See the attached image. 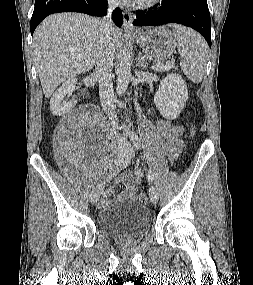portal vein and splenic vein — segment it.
Instances as JSON below:
<instances>
[{
    "label": "portal vein and splenic vein",
    "mask_w": 253,
    "mask_h": 285,
    "mask_svg": "<svg viewBox=\"0 0 253 285\" xmlns=\"http://www.w3.org/2000/svg\"><path fill=\"white\" fill-rule=\"evenodd\" d=\"M173 65H174V59H172L166 65H162V64L152 65L151 69H155V70H163V69H165V70H167V69H170Z\"/></svg>",
    "instance_id": "18ae733b"
}]
</instances>
